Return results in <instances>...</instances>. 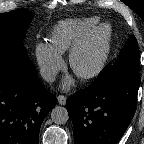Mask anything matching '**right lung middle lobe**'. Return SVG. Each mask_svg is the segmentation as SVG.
<instances>
[{
    "instance_id": "dd1d6c3e",
    "label": "right lung middle lobe",
    "mask_w": 144,
    "mask_h": 144,
    "mask_svg": "<svg viewBox=\"0 0 144 144\" xmlns=\"http://www.w3.org/2000/svg\"><path fill=\"white\" fill-rule=\"evenodd\" d=\"M31 19V12L23 8L0 14V67L13 66L29 77H36L22 42Z\"/></svg>"
}]
</instances>
